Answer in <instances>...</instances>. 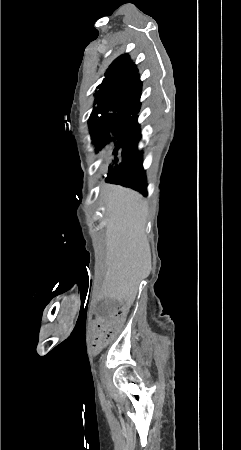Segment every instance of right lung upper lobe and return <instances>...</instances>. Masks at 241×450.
<instances>
[{"label":"right lung upper lobe","mask_w":241,"mask_h":450,"mask_svg":"<svg viewBox=\"0 0 241 450\" xmlns=\"http://www.w3.org/2000/svg\"><path fill=\"white\" fill-rule=\"evenodd\" d=\"M101 85L111 87L120 99L140 102L142 82L139 80L137 66L127 54L113 61Z\"/></svg>","instance_id":"right-lung-upper-lobe-1"}]
</instances>
